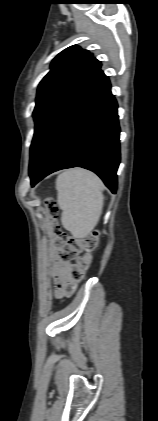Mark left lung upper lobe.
<instances>
[{"label":"left lung upper lobe","instance_id":"1","mask_svg":"<svg viewBox=\"0 0 158 421\" xmlns=\"http://www.w3.org/2000/svg\"><path fill=\"white\" fill-rule=\"evenodd\" d=\"M100 67V61L88 50L76 45L66 48L53 59L50 71L38 86L33 112L35 132L30 150L31 157L54 117Z\"/></svg>","mask_w":158,"mask_h":421}]
</instances>
